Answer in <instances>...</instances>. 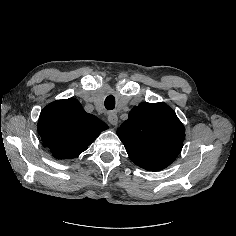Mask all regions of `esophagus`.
<instances>
[{"label":"esophagus","mask_w":236,"mask_h":236,"mask_svg":"<svg viewBox=\"0 0 236 236\" xmlns=\"http://www.w3.org/2000/svg\"><path fill=\"white\" fill-rule=\"evenodd\" d=\"M108 121L110 124H112L113 126H117L118 124V117L117 114L115 112H110L108 114Z\"/></svg>","instance_id":"esophagus-1"}]
</instances>
